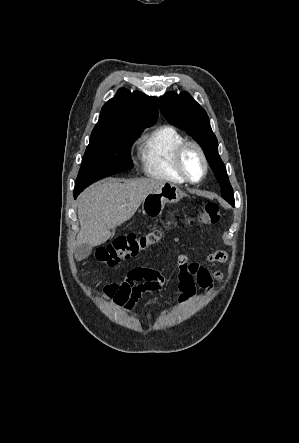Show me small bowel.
<instances>
[{
  "label": "small bowel",
  "instance_id": "c3829d8e",
  "mask_svg": "<svg viewBox=\"0 0 299 443\" xmlns=\"http://www.w3.org/2000/svg\"><path fill=\"white\" fill-rule=\"evenodd\" d=\"M227 258L226 252L215 251L205 258L204 264H200L190 262L185 255H179L177 257L179 302H187L195 293L196 285L209 291L213 281L222 279V273L210 271L207 264L224 263ZM164 283L165 278L160 272L150 268H134L123 281L106 286L103 295L111 298L116 305L132 312L144 294L159 292Z\"/></svg>",
  "mask_w": 299,
  "mask_h": 443
}]
</instances>
